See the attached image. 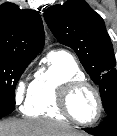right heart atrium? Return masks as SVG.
Listing matches in <instances>:
<instances>
[{
  "instance_id": "d8ad5b80",
  "label": "right heart atrium",
  "mask_w": 117,
  "mask_h": 136,
  "mask_svg": "<svg viewBox=\"0 0 117 136\" xmlns=\"http://www.w3.org/2000/svg\"><path fill=\"white\" fill-rule=\"evenodd\" d=\"M32 82H29V75L24 74L17 82L14 91V101L17 106H20L24 99L28 96L31 90Z\"/></svg>"
}]
</instances>
